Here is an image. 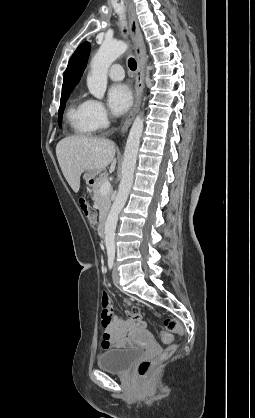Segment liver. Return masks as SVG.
Segmentation results:
<instances>
[{"label":"liver","instance_id":"liver-1","mask_svg":"<svg viewBox=\"0 0 255 418\" xmlns=\"http://www.w3.org/2000/svg\"><path fill=\"white\" fill-rule=\"evenodd\" d=\"M56 155L72 190L80 189V176L83 172L100 173L110 164V173L115 170V143L109 139L72 136L60 140L56 146Z\"/></svg>","mask_w":255,"mask_h":418}]
</instances>
